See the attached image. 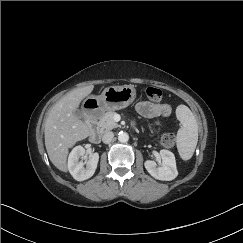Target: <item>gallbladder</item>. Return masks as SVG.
Masks as SVG:
<instances>
[{
  "label": "gallbladder",
  "mask_w": 243,
  "mask_h": 243,
  "mask_svg": "<svg viewBox=\"0 0 243 243\" xmlns=\"http://www.w3.org/2000/svg\"><path fill=\"white\" fill-rule=\"evenodd\" d=\"M75 115H76L77 117H79V118L82 117V114H81V112H80L78 109L75 111Z\"/></svg>",
  "instance_id": "obj_1"
}]
</instances>
